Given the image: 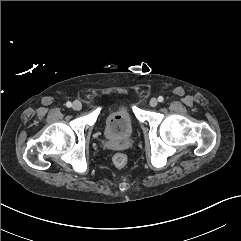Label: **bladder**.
I'll return each instance as SVG.
<instances>
[{
	"label": "bladder",
	"mask_w": 241,
	"mask_h": 241,
	"mask_svg": "<svg viewBox=\"0 0 241 241\" xmlns=\"http://www.w3.org/2000/svg\"><path fill=\"white\" fill-rule=\"evenodd\" d=\"M103 130L109 138H127L135 132V119L126 103H118L106 111Z\"/></svg>",
	"instance_id": "31cf9c89"
}]
</instances>
